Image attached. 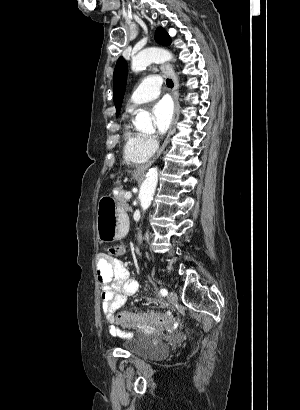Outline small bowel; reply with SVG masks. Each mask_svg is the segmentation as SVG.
Masks as SVG:
<instances>
[{"instance_id": "c3829d8e", "label": "small bowel", "mask_w": 300, "mask_h": 410, "mask_svg": "<svg viewBox=\"0 0 300 410\" xmlns=\"http://www.w3.org/2000/svg\"><path fill=\"white\" fill-rule=\"evenodd\" d=\"M96 275L101 289L103 314L111 322L110 333L117 337H130L131 333L123 331L112 321L115 313L123 306L126 299L137 292V280L130 276L120 260L107 254L97 256Z\"/></svg>"}]
</instances>
